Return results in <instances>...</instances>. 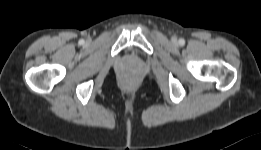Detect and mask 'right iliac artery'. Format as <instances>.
Returning a JSON list of instances; mask_svg holds the SVG:
<instances>
[{"instance_id": "82829eb1", "label": "right iliac artery", "mask_w": 261, "mask_h": 150, "mask_svg": "<svg viewBox=\"0 0 261 150\" xmlns=\"http://www.w3.org/2000/svg\"><path fill=\"white\" fill-rule=\"evenodd\" d=\"M79 43H80V44H83V43H84V40H80Z\"/></svg>"}]
</instances>
